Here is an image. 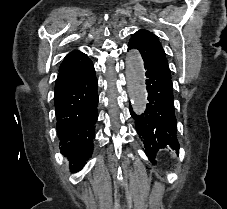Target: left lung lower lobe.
Masks as SVG:
<instances>
[{
	"label": "left lung lower lobe",
	"instance_id": "left-lung-lower-lobe-1",
	"mask_svg": "<svg viewBox=\"0 0 227 209\" xmlns=\"http://www.w3.org/2000/svg\"><path fill=\"white\" fill-rule=\"evenodd\" d=\"M144 66L149 103L142 115L135 114L131 106L130 113L143 140L146 154L154 164L160 149L178 150L180 145L176 136L177 121L174 114L171 78L151 65Z\"/></svg>",
	"mask_w": 227,
	"mask_h": 209
}]
</instances>
